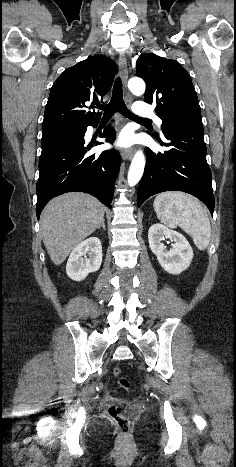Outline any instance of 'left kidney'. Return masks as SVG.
<instances>
[{"label":"left kidney","instance_id":"1","mask_svg":"<svg viewBox=\"0 0 236 467\" xmlns=\"http://www.w3.org/2000/svg\"><path fill=\"white\" fill-rule=\"evenodd\" d=\"M165 238L174 242L170 250H167L161 242ZM148 240L151 251L166 272L178 275L190 266L194 255L193 250L186 238L179 232L157 223L149 228Z\"/></svg>","mask_w":236,"mask_h":467}]
</instances>
